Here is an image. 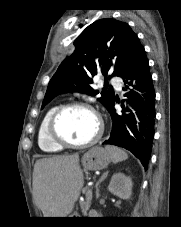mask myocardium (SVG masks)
<instances>
[{
  "label": "myocardium",
  "instance_id": "obj_1",
  "mask_svg": "<svg viewBox=\"0 0 181 227\" xmlns=\"http://www.w3.org/2000/svg\"><path fill=\"white\" fill-rule=\"evenodd\" d=\"M71 108H84L88 111H90L96 118L97 120V132L94 135V137L92 139H90L89 141H86L84 143H72L70 141H68L67 139H65L64 137H62L58 130H57V122L58 119L60 118V116L62 115V113L68 109ZM103 131H104V123L103 120L100 116V114L96 111V109L86 103V102H82V101H72L63 105H60L56 108V110L53 112L49 123H48V135L51 138V140L56 143L57 145L66 148H75V149H85V148H89L93 145H95L102 137L103 135Z\"/></svg>",
  "mask_w": 181,
  "mask_h": 227
}]
</instances>
